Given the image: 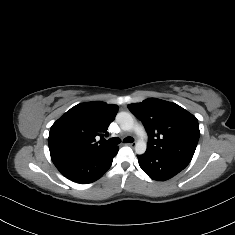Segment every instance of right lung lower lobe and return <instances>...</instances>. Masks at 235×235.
<instances>
[{
    "mask_svg": "<svg viewBox=\"0 0 235 235\" xmlns=\"http://www.w3.org/2000/svg\"><path fill=\"white\" fill-rule=\"evenodd\" d=\"M118 150V146H113L97 153L50 154L62 175L76 183L86 184L98 180L108 171Z\"/></svg>",
    "mask_w": 235,
    "mask_h": 235,
    "instance_id": "right-lung-lower-lobe-1",
    "label": "right lung lower lobe"
}]
</instances>
